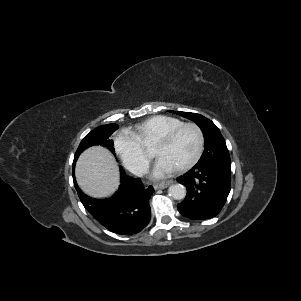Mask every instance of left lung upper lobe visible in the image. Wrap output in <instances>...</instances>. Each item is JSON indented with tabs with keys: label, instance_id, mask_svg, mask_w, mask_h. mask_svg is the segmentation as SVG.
<instances>
[{
	"label": "left lung upper lobe",
	"instance_id": "obj_1",
	"mask_svg": "<svg viewBox=\"0 0 301 301\" xmlns=\"http://www.w3.org/2000/svg\"><path fill=\"white\" fill-rule=\"evenodd\" d=\"M183 117L194 121L204 134V152L197 162L198 165L223 163L231 165L229 152L218 127L206 117L190 112H177Z\"/></svg>",
	"mask_w": 301,
	"mask_h": 301
}]
</instances>
